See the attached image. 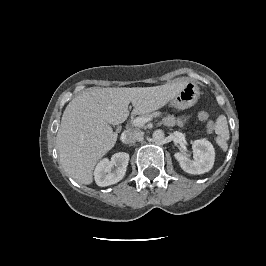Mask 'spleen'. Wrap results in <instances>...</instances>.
<instances>
[{
  "label": "spleen",
  "instance_id": "spleen-1",
  "mask_svg": "<svg viewBox=\"0 0 266 266\" xmlns=\"http://www.w3.org/2000/svg\"><path fill=\"white\" fill-rule=\"evenodd\" d=\"M215 133L218 135L216 137V143L223 151H226L228 149L227 140L229 139V130L227 119L224 115L217 118Z\"/></svg>",
  "mask_w": 266,
  "mask_h": 266
}]
</instances>
